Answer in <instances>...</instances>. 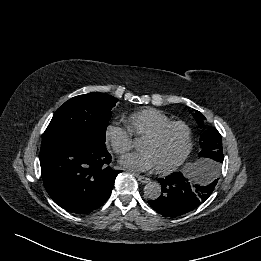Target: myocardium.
Instances as JSON below:
<instances>
[{
  "label": "myocardium",
  "instance_id": "f54148a6",
  "mask_svg": "<svg viewBox=\"0 0 261 261\" xmlns=\"http://www.w3.org/2000/svg\"><path fill=\"white\" fill-rule=\"evenodd\" d=\"M182 127L186 132V147L182 153V155L172 164L162 167L156 168V171L160 174H169L176 169H178L189 157L192 148H193V132L191 127L184 121H170L162 126H160L154 132L146 135L143 139L156 141L159 140L169 129L173 127Z\"/></svg>",
  "mask_w": 261,
  "mask_h": 261
}]
</instances>
